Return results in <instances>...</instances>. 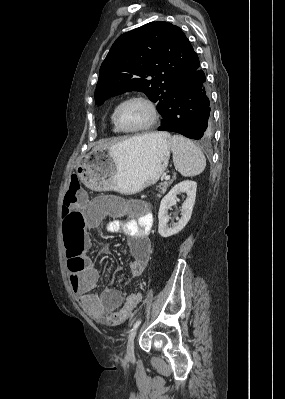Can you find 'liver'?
Here are the masks:
<instances>
[{
    "mask_svg": "<svg viewBox=\"0 0 285 399\" xmlns=\"http://www.w3.org/2000/svg\"><path fill=\"white\" fill-rule=\"evenodd\" d=\"M156 136H158V133H148V134H143V135L136 136V137H133V138H151L152 139V138H155ZM133 138H130V139L126 140V141H129V140H131ZM121 142H119L116 139L109 140V141H102L94 149H108V148H111V147L121 143Z\"/></svg>",
    "mask_w": 285,
    "mask_h": 399,
    "instance_id": "liver-1",
    "label": "liver"
}]
</instances>
